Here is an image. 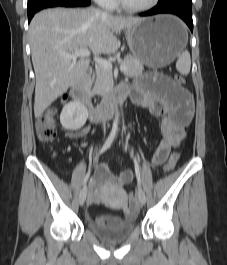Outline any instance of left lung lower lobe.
Segmentation results:
<instances>
[{
    "label": "left lung lower lobe",
    "mask_w": 227,
    "mask_h": 265,
    "mask_svg": "<svg viewBox=\"0 0 227 265\" xmlns=\"http://www.w3.org/2000/svg\"><path fill=\"white\" fill-rule=\"evenodd\" d=\"M175 14L183 19L189 26L190 30L193 31V21H192V5L186 4H166L157 5L153 9L140 13V16H151L155 14Z\"/></svg>",
    "instance_id": "0a47b994"
}]
</instances>
